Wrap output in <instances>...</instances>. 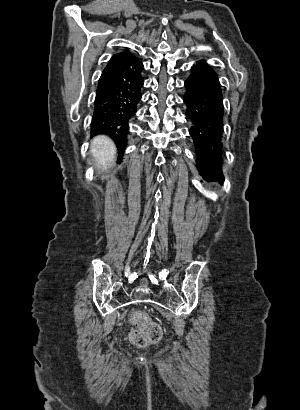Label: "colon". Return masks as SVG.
<instances>
[{
	"instance_id": "colon-1",
	"label": "colon",
	"mask_w": 300,
	"mask_h": 410,
	"mask_svg": "<svg viewBox=\"0 0 300 410\" xmlns=\"http://www.w3.org/2000/svg\"><path fill=\"white\" fill-rule=\"evenodd\" d=\"M131 321L137 327L130 334V341L133 345L145 347L157 343L162 338L161 326L152 322L144 313L134 312L131 315Z\"/></svg>"
}]
</instances>
